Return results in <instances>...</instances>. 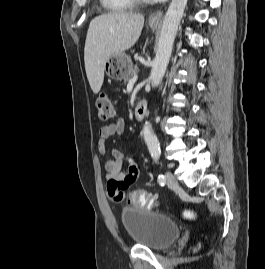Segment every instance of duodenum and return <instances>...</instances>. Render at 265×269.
Returning <instances> with one entry per match:
<instances>
[{"label": "duodenum", "mask_w": 265, "mask_h": 269, "mask_svg": "<svg viewBox=\"0 0 265 269\" xmlns=\"http://www.w3.org/2000/svg\"><path fill=\"white\" fill-rule=\"evenodd\" d=\"M146 108H147L146 102L140 101L135 107V111H134L135 118L136 119L143 118L146 112Z\"/></svg>", "instance_id": "duodenum-1"}]
</instances>
